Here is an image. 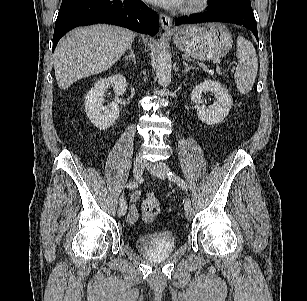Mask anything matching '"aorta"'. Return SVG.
<instances>
[{
  "label": "aorta",
  "mask_w": 307,
  "mask_h": 301,
  "mask_svg": "<svg viewBox=\"0 0 307 301\" xmlns=\"http://www.w3.org/2000/svg\"><path fill=\"white\" fill-rule=\"evenodd\" d=\"M172 62L171 56L164 48L160 49L156 58V76L162 87H167L171 82Z\"/></svg>",
  "instance_id": "1"
}]
</instances>
